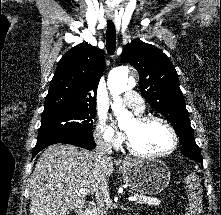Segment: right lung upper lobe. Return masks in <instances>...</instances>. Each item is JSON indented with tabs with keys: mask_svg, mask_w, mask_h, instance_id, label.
Segmentation results:
<instances>
[{
	"mask_svg": "<svg viewBox=\"0 0 221 215\" xmlns=\"http://www.w3.org/2000/svg\"><path fill=\"white\" fill-rule=\"evenodd\" d=\"M104 70L102 50L87 43L70 49L57 65L42 114L73 108H95L97 87Z\"/></svg>",
	"mask_w": 221,
	"mask_h": 215,
	"instance_id": "right-lung-upper-lobe-1",
	"label": "right lung upper lobe"
}]
</instances>
